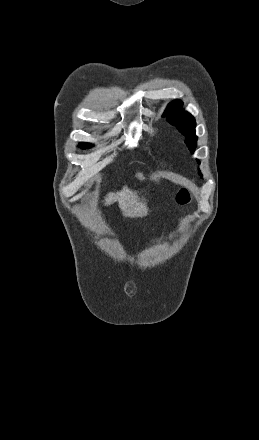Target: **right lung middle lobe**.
I'll return each mask as SVG.
<instances>
[{
	"mask_svg": "<svg viewBox=\"0 0 259 440\" xmlns=\"http://www.w3.org/2000/svg\"><path fill=\"white\" fill-rule=\"evenodd\" d=\"M79 147H81L82 149L90 148V147H91V144H89V143H85V142H81V143L79 144Z\"/></svg>",
	"mask_w": 259,
	"mask_h": 440,
	"instance_id": "dd1d6c3e",
	"label": "right lung middle lobe"
}]
</instances>
